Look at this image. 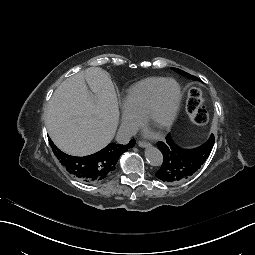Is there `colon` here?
I'll use <instances>...</instances> for the list:
<instances>
[{"label": "colon", "instance_id": "5ec220e1", "mask_svg": "<svg viewBox=\"0 0 255 255\" xmlns=\"http://www.w3.org/2000/svg\"><path fill=\"white\" fill-rule=\"evenodd\" d=\"M186 112L193 123L205 125L209 120V114L204 108V97L199 86L188 89L186 99Z\"/></svg>", "mask_w": 255, "mask_h": 255}]
</instances>
